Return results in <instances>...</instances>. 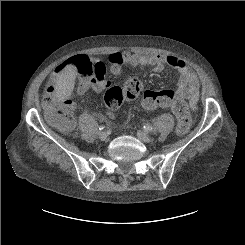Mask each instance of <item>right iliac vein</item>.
<instances>
[{
  "label": "right iliac vein",
  "mask_w": 245,
  "mask_h": 245,
  "mask_svg": "<svg viewBox=\"0 0 245 245\" xmlns=\"http://www.w3.org/2000/svg\"><path fill=\"white\" fill-rule=\"evenodd\" d=\"M99 138L102 140V141H104V140H106L107 138H108V133L107 132H100L99 133Z\"/></svg>",
  "instance_id": "right-iliac-vein-1"
}]
</instances>
